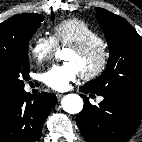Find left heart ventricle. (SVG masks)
<instances>
[{"instance_id": "1", "label": "left heart ventricle", "mask_w": 142, "mask_h": 142, "mask_svg": "<svg viewBox=\"0 0 142 142\" xmlns=\"http://www.w3.org/2000/svg\"><path fill=\"white\" fill-rule=\"evenodd\" d=\"M64 59L67 62L74 63L78 67L79 71L82 72L94 68L99 60V57L98 55L82 57L74 50L70 49L66 52Z\"/></svg>"}]
</instances>
